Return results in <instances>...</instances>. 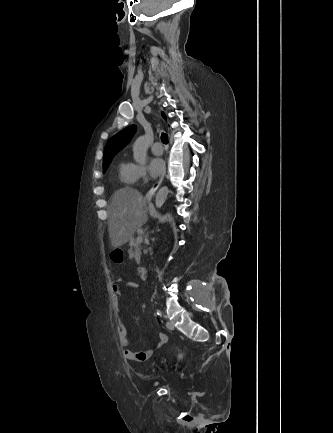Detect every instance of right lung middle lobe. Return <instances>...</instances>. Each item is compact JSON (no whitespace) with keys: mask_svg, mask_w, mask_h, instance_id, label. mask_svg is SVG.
I'll use <instances>...</instances> for the list:
<instances>
[{"mask_svg":"<svg viewBox=\"0 0 333 433\" xmlns=\"http://www.w3.org/2000/svg\"><path fill=\"white\" fill-rule=\"evenodd\" d=\"M108 166H109V164H104V165H103V172L106 171V169L108 168Z\"/></svg>","mask_w":333,"mask_h":433,"instance_id":"1","label":"right lung middle lobe"}]
</instances>
